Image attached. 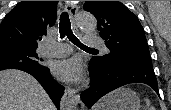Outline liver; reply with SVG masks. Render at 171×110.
<instances>
[{"label":"liver","mask_w":171,"mask_h":110,"mask_svg":"<svg viewBox=\"0 0 171 110\" xmlns=\"http://www.w3.org/2000/svg\"><path fill=\"white\" fill-rule=\"evenodd\" d=\"M99 107L98 103L95 110ZM0 110H56V107L35 78L8 69L0 71Z\"/></svg>","instance_id":"6515ba94"}]
</instances>
